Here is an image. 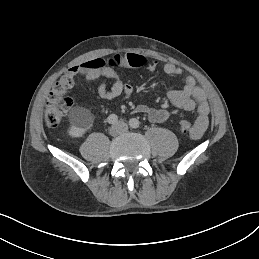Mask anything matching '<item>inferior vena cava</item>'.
<instances>
[{
  "label": "inferior vena cava",
  "instance_id": "1",
  "mask_svg": "<svg viewBox=\"0 0 259 259\" xmlns=\"http://www.w3.org/2000/svg\"><path fill=\"white\" fill-rule=\"evenodd\" d=\"M118 127H122V129H123L124 131H127V130H128V126H127V124H125V123H119Z\"/></svg>",
  "mask_w": 259,
  "mask_h": 259
}]
</instances>
